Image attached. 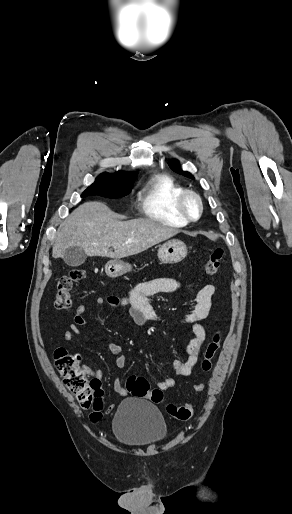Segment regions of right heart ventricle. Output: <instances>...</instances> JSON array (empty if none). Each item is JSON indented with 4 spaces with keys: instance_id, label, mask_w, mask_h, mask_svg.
<instances>
[{
    "instance_id": "1",
    "label": "right heart ventricle",
    "mask_w": 292,
    "mask_h": 514,
    "mask_svg": "<svg viewBox=\"0 0 292 514\" xmlns=\"http://www.w3.org/2000/svg\"><path fill=\"white\" fill-rule=\"evenodd\" d=\"M184 188L167 174L152 175L137 194V206L141 213L164 225L182 228L187 221L179 216L173 206L174 196Z\"/></svg>"
}]
</instances>
